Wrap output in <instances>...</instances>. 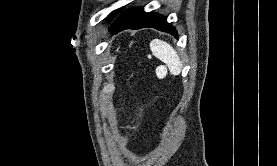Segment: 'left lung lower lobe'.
<instances>
[{
    "label": "left lung lower lobe",
    "instance_id": "0a47b994",
    "mask_svg": "<svg viewBox=\"0 0 277 166\" xmlns=\"http://www.w3.org/2000/svg\"><path fill=\"white\" fill-rule=\"evenodd\" d=\"M146 27L171 33L175 37L178 36L175 28L167 22L165 17L154 13H146L142 8L129 9L122 12L113 22L109 31L112 34H117L124 29H140Z\"/></svg>",
    "mask_w": 277,
    "mask_h": 166
}]
</instances>
